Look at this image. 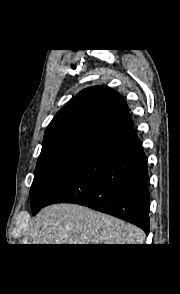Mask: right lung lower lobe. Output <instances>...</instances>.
Instances as JSON below:
<instances>
[{
	"mask_svg": "<svg viewBox=\"0 0 180 294\" xmlns=\"http://www.w3.org/2000/svg\"><path fill=\"white\" fill-rule=\"evenodd\" d=\"M53 203L84 205L149 233L148 170L130 118L99 142L44 206Z\"/></svg>",
	"mask_w": 180,
	"mask_h": 294,
	"instance_id": "98d812e1",
	"label": "right lung lower lobe"
}]
</instances>
